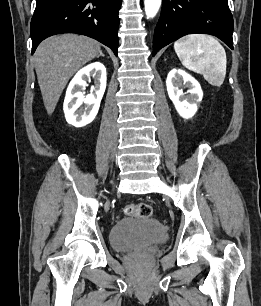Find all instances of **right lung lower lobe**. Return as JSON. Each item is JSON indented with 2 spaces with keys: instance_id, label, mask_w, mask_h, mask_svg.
<instances>
[{
  "instance_id": "right-lung-lower-lobe-1",
  "label": "right lung lower lobe",
  "mask_w": 261,
  "mask_h": 306,
  "mask_svg": "<svg viewBox=\"0 0 261 306\" xmlns=\"http://www.w3.org/2000/svg\"><path fill=\"white\" fill-rule=\"evenodd\" d=\"M122 0H36L31 20L32 54L45 38L60 33L89 36L117 56Z\"/></svg>"
}]
</instances>
